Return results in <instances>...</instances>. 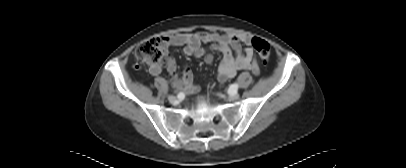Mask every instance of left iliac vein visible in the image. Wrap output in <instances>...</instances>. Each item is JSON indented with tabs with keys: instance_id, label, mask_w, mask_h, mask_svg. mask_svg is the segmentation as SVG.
Masks as SVG:
<instances>
[{
	"instance_id": "obj_1",
	"label": "left iliac vein",
	"mask_w": 406,
	"mask_h": 168,
	"mask_svg": "<svg viewBox=\"0 0 406 168\" xmlns=\"http://www.w3.org/2000/svg\"><path fill=\"white\" fill-rule=\"evenodd\" d=\"M228 99H229L230 101L238 100V99H239V94H238L237 92L231 93V94H229Z\"/></svg>"
}]
</instances>
